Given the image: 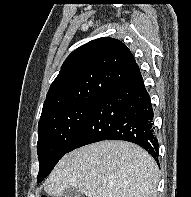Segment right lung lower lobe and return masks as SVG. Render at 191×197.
<instances>
[{"label":"right lung lower lobe","mask_w":191,"mask_h":197,"mask_svg":"<svg viewBox=\"0 0 191 197\" xmlns=\"http://www.w3.org/2000/svg\"><path fill=\"white\" fill-rule=\"evenodd\" d=\"M153 109L141 74L106 91L97 101L67 153L102 140H125L143 147L158 161Z\"/></svg>","instance_id":"right-lung-lower-lobe-1"}]
</instances>
